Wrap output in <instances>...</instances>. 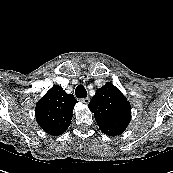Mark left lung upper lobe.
Wrapping results in <instances>:
<instances>
[{
    "label": "left lung upper lobe",
    "instance_id": "left-lung-upper-lobe-1",
    "mask_svg": "<svg viewBox=\"0 0 173 173\" xmlns=\"http://www.w3.org/2000/svg\"><path fill=\"white\" fill-rule=\"evenodd\" d=\"M88 106L100 130L108 136L120 135L129 125L130 103L112 83L99 88Z\"/></svg>",
    "mask_w": 173,
    "mask_h": 173
}]
</instances>
